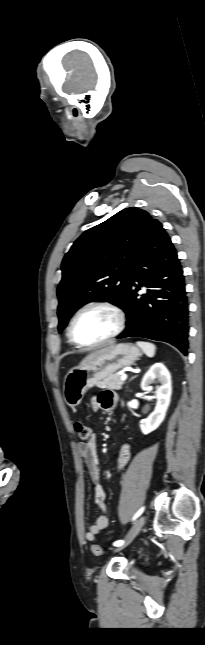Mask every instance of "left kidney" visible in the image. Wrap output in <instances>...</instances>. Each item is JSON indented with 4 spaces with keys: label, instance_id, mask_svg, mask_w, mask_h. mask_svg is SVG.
Segmentation results:
<instances>
[{
    "label": "left kidney",
    "instance_id": "obj_1",
    "mask_svg": "<svg viewBox=\"0 0 205 645\" xmlns=\"http://www.w3.org/2000/svg\"><path fill=\"white\" fill-rule=\"evenodd\" d=\"M161 384L156 392L157 404L154 411L146 419L140 421V429L143 434H149L157 429L166 416L167 409L170 405L172 386L171 375L168 369L162 363L153 364L144 375L141 388L144 391H151L155 380Z\"/></svg>",
    "mask_w": 205,
    "mask_h": 645
}]
</instances>
